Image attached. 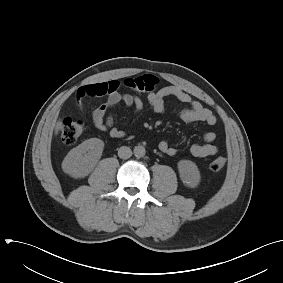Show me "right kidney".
I'll return each instance as SVG.
<instances>
[{
	"mask_svg": "<svg viewBox=\"0 0 283 283\" xmlns=\"http://www.w3.org/2000/svg\"><path fill=\"white\" fill-rule=\"evenodd\" d=\"M104 142L91 138L69 151L62 162V169L74 178L87 176L101 158Z\"/></svg>",
	"mask_w": 283,
	"mask_h": 283,
	"instance_id": "right-kidney-1",
	"label": "right kidney"
}]
</instances>
